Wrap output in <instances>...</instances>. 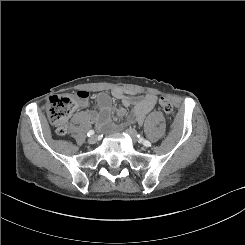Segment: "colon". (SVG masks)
<instances>
[{
	"label": "colon",
	"mask_w": 245,
	"mask_h": 245,
	"mask_svg": "<svg viewBox=\"0 0 245 245\" xmlns=\"http://www.w3.org/2000/svg\"><path fill=\"white\" fill-rule=\"evenodd\" d=\"M88 93L79 91L76 94H62L52 96L47 105V116L49 120L56 126L58 135H64L67 131L66 122L76 108L83 100H86ZM159 104L163 111L168 115L174 114L173 104L165 97L159 98Z\"/></svg>",
	"instance_id": "obj_1"
}]
</instances>
